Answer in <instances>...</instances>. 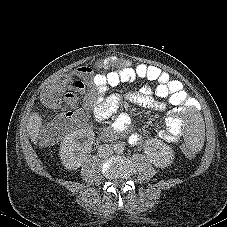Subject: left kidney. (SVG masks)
<instances>
[{
  "instance_id": "left-kidney-1",
  "label": "left kidney",
  "mask_w": 227,
  "mask_h": 227,
  "mask_svg": "<svg viewBox=\"0 0 227 227\" xmlns=\"http://www.w3.org/2000/svg\"><path fill=\"white\" fill-rule=\"evenodd\" d=\"M149 145L146 154L154 166L165 168L173 162L174 152L171 147L157 139L150 140Z\"/></svg>"
}]
</instances>
